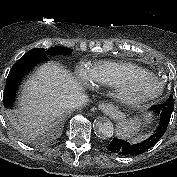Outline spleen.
<instances>
[{
    "instance_id": "1",
    "label": "spleen",
    "mask_w": 177,
    "mask_h": 177,
    "mask_svg": "<svg viewBox=\"0 0 177 177\" xmlns=\"http://www.w3.org/2000/svg\"><path fill=\"white\" fill-rule=\"evenodd\" d=\"M151 114H146L144 117H145V120L147 121V122H149L150 121V119H151Z\"/></svg>"
}]
</instances>
